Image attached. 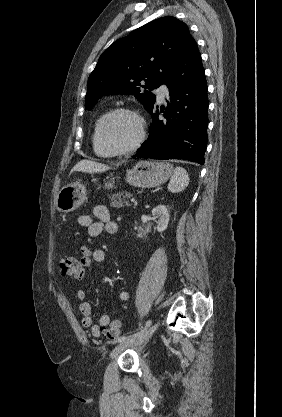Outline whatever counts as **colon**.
<instances>
[{
  "instance_id": "colon-1",
  "label": "colon",
  "mask_w": 282,
  "mask_h": 417,
  "mask_svg": "<svg viewBox=\"0 0 282 417\" xmlns=\"http://www.w3.org/2000/svg\"><path fill=\"white\" fill-rule=\"evenodd\" d=\"M75 257L65 256L60 261V270L65 277H76L81 276L84 272L85 266H75ZM121 324L118 320H113L107 327L106 336L108 339H121L123 336L120 330Z\"/></svg>"
}]
</instances>
